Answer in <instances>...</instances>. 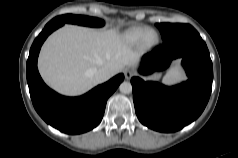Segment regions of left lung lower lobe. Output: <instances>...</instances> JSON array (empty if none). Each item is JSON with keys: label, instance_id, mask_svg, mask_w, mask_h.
I'll return each mask as SVG.
<instances>
[{"label": "left lung lower lobe", "instance_id": "left-lung-lower-lobe-1", "mask_svg": "<svg viewBox=\"0 0 238 158\" xmlns=\"http://www.w3.org/2000/svg\"><path fill=\"white\" fill-rule=\"evenodd\" d=\"M182 58L188 80L167 87L133 77L136 115L145 126L160 132H175L196 120L206 107L213 81L208 48L195 30L173 36L143 56L140 73L167 68L172 59Z\"/></svg>", "mask_w": 238, "mask_h": 158}]
</instances>
